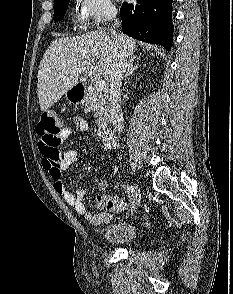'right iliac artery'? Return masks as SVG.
<instances>
[{
  "mask_svg": "<svg viewBox=\"0 0 233 294\" xmlns=\"http://www.w3.org/2000/svg\"><path fill=\"white\" fill-rule=\"evenodd\" d=\"M125 189H126L127 192H130V193H132V194L135 193V188L132 187V186L127 185V186L125 187Z\"/></svg>",
  "mask_w": 233,
  "mask_h": 294,
  "instance_id": "82829eb1",
  "label": "right iliac artery"
}]
</instances>
